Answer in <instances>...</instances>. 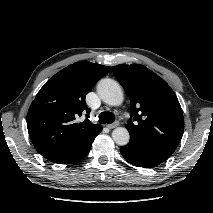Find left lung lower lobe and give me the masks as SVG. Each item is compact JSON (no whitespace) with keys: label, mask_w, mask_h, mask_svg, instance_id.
I'll return each mask as SVG.
<instances>
[{"label":"left lung lower lobe","mask_w":213,"mask_h":213,"mask_svg":"<svg viewBox=\"0 0 213 213\" xmlns=\"http://www.w3.org/2000/svg\"><path fill=\"white\" fill-rule=\"evenodd\" d=\"M120 152L129 163L143 168L156 167L171 156L170 153L147 147L131 137L130 142L120 148Z\"/></svg>","instance_id":"0a47b994"}]
</instances>
